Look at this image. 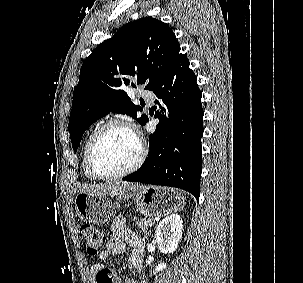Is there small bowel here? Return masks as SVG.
Masks as SVG:
<instances>
[{
    "label": "small bowel",
    "mask_w": 303,
    "mask_h": 283,
    "mask_svg": "<svg viewBox=\"0 0 303 283\" xmlns=\"http://www.w3.org/2000/svg\"><path fill=\"white\" fill-rule=\"evenodd\" d=\"M127 245H130L132 248L130 263L136 270L140 271L143 263V241L127 227L123 217H116L112 223L110 240L106 248L99 253V259L105 261L111 255L121 254L125 251ZM103 267L102 263H96L91 268L92 274L96 277L98 271L103 269ZM123 283H132V281L126 278Z\"/></svg>",
    "instance_id": "c3829d8e"
}]
</instances>
